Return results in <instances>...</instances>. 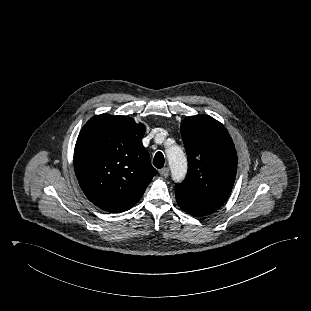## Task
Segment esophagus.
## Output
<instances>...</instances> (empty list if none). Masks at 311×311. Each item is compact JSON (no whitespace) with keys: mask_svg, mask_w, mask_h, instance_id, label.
Here are the masks:
<instances>
[{"mask_svg":"<svg viewBox=\"0 0 311 311\" xmlns=\"http://www.w3.org/2000/svg\"><path fill=\"white\" fill-rule=\"evenodd\" d=\"M159 173L161 176L163 177H168L169 175V169L168 168H162L161 170H159Z\"/></svg>","mask_w":311,"mask_h":311,"instance_id":"obj_1","label":"esophagus"}]
</instances>
